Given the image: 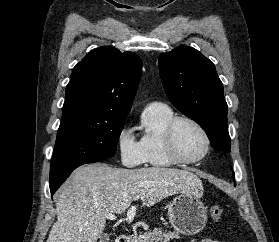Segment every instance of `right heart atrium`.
Wrapping results in <instances>:
<instances>
[{"mask_svg":"<svg viewBox=\"0 0 279 242\" xmlns=\"http://www.w3.org/2000/svg\"><path fill=\"white\" fill-rule=\"evenodd\" d=\"M120 160L126 167H137L145 163V157L139 141L129 128L122 127L116 139Z\"/></svg>","mask_w":279,"mask_h":242,"instance_id":"d8ad5b80","label":"right heart atrium"}]
</instances>
